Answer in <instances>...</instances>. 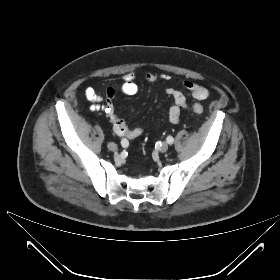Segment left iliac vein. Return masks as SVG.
<instances>
[{"mask_svg": "<svg viewBox=\"0 0 280 280\" xmlns=\"http://www.w3.org/2000/svg\"><path fill=\"white\" fill-rule=\"evenodd\" d=\"M168 150V144L166 142H163L160 146V151L165 153Z\"/></svg>", "mask_w": 280, "mask_h": 280, "instance_id": "obj_1", "label": "left iliac vein"}]
</instances>
